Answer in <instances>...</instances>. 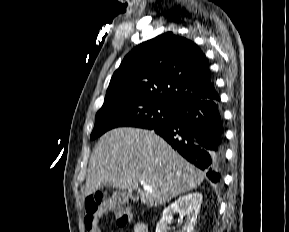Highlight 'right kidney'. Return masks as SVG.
I'll list each match as a JSON object with an SVG mask.
<instances>
[{
  "label": "right kidney",
  "mask_w": 289,
  "mask_h": 232,
  "mask_svg": "<svg viewBox=\"0 0 289 232\" xmlns=\"http://www.w3.org/2000/svg\"><path fill=\"white\" fill-rule=\"evenodd\" d=\"M202 199V194L197 192L179 197L163 210L162 217L156 225V232H168V225L172 222L175 213H179L181 221L186 216L180 232H193Z\"/></svg>",
  "instance_id": "obj_1"
}]
</instances>
